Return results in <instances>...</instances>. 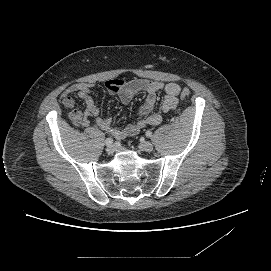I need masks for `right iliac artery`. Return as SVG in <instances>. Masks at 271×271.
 <instances>
[{
	"instance_id": "1",
	"label": "right iliac artery",
	"mask_w": 271,
	"mask_h": 271,
	"mask_svg": "<svg viewBox=\"0 0 271 271\" xmlns=\"http://www.w3.org/2000/svg\"><path fill=\"white\" fill-rule=\"evenodd\" d=\"M112 143H113V139L111 137L107 138L105 141V144L108 146L112 145Z\"/></svg>"
}]
</instances>
